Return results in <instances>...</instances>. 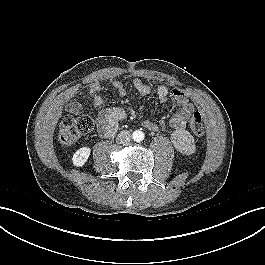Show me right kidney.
Here are the masks:
<instances>
[{
	"label": "right kidney",
	"instance_id": "1",
	"mask_svg": "<svg viewBox=\"0 0 265 265\" xmlns=\"http://www.w3.org/2000/svg\"><path fill=\"white\" fill-rule=\"evenodd\" d=\"M91 149L89 147H82L78 149L72 157L74 166L82 167L90 156Z\"/></svg>",
	"mask_w": 265,
	"mask_h": 265
}]
</instances>
